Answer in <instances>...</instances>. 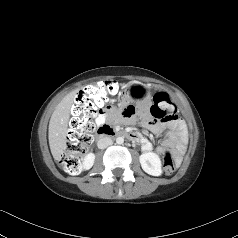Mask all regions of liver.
Instances as JSON below:
<instances>
[{
    "label": "liver",
    "mask_w": 238,
    "mask_h": 238,
    "mask_svg": "<svg viewBox=\"0 0 238 238\" xmlns=\"http://www.w3.org/2000/svg\"><path fill=\"white\" fill-rule=\"evenodd\" d=\"M78 89L68 93L56 106L49 121L48 139L52 156L59 161L66 147V135L70 118V109L77 96Z\"/></svg>",
    "instance_id": "1"
}]
</instances>
